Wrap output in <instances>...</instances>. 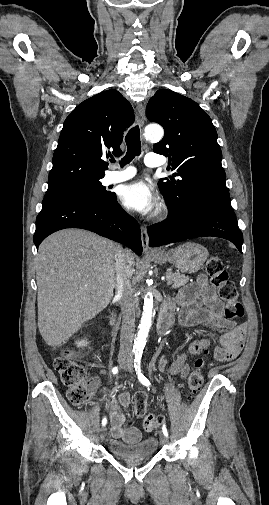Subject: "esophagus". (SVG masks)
Instances as JSON below:
<instances>
[{"label": "esophagus", "mask_w": 269, "mask_h": 505, "mask_svg": "<svg viewBox=\"0 0 269 505\" xmlns=\"http://www.w3.org/2000/svg\"><path fill=\"white\" fill-rule=\"evenodd\" d=\"M136 119L140 126L144 125L145 122V110L142 104H137L136 107ZM141 241L143 251L145 253H152L154 249L149 247V237L147 232V227L145 225H141Z\"/></svg>", "instance_id": "esophagus-1"}]
</instances>
